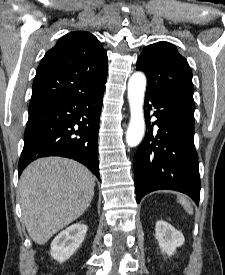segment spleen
<instances>
[{"label": "spleen", "mask_w": 225, "mask_h": 275, "mask_svg": "<svg viewBox=\"0 0 225 275\" xmlns=\"http://www.w3.org/2000/svg\"><path fill=\"white\" fill-rule=\"evenodd\" d=\"M178 202L184 207V209L189 214H193V208H192L190 202L184 196H178Z\"/></svg>", "instance_id": "obj_1"}]
</instances>
